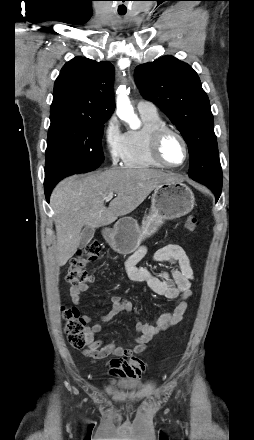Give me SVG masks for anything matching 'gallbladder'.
I'll use <instances>...</instances> for the list:
<instances>
[{"label": "gallbladder", "instance_id": "1", "mask_svg": "<svg viewBox=\"0 0 254 440\" xmlns=\"http://www.w3.org/2000/svg\"><path fill=\"white\" fill-rule=\"evenodd\" d=\"M94 233H95V229L94 228L85 227L82 230V233H81V239H80L79 247H81V248L86 247L90 243L92 238L94 237Z\"/></svg>", "mask_w": 254, "mask_h": 440}]
</instances>
